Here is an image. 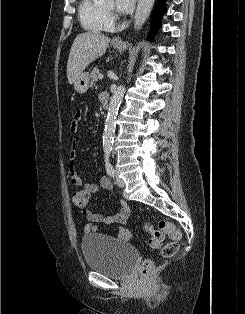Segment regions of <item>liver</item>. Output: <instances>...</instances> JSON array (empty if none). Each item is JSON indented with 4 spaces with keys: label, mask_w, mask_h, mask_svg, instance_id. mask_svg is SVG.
Returning a JSON list of instances; mask_svg holds the SVG:
<instances>
[{
    "label": "liver",
    "mask_w": 245,
    "mask_h": 314,
    "mask_svg": "<svg viewBox=\"0 0 245 314\" xmlns=\"http://www.w3.org/2000/svg\"><path fill=\"white\" fill-rule=\"evenodd\" d=\"M109 43L110 38L100 33L86 32L76 36L67 62L69 84H73L78 75L92 61L105 53Z\"/></svg>",
    "instance_id": "6515ba94"
}]
</instances>
